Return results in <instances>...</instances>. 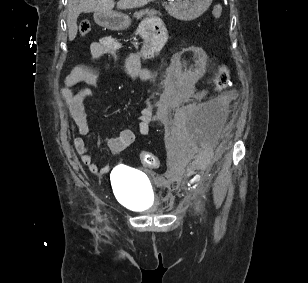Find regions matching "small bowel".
I'll return each instance as SVG.
<instances>
[{"instance_id":"1","label":"small bowel","mask_w":308,"mask_h":283,"mask_svg":"<svg viewBox=\"0 0 308 283\" xmlns=\"http://www.w3.org/2000/svg\"><path fill=\"white\" fill-rule=\"evenodd\" d=\"M162 33L165 36L162 23L157 18H149L142 22L139 27V33L144 40V47L141 51L122 55L121 44L112 37H102L98 41L90 44V52L94 58L103 56H113L122 62L121 72L130 79L141 81H153L154 75L142 66V59L147 55V50L151 40L156 33ZM100 77L98 73L90 67L78 66L65 77L61 93L66 99L69 112L72 116V130L78 132L79 136L73 139V145L79 154L81 161L89 168L92 173L106 174L110 171V166L99 167L93 162L92 155L84 141V136L90 134L91 130L87 121L84 102L93 95V91L81 87L87 84L92 87H98ZM76 87L77 91L73 93L70 88ZM187 95L182 91H170L165 93L156 108L145 107L138 115V132L141 135H148L149 126L153 118L165 120L171 112L179 107ZM135 140V133L131 129L122 130L118 136L104 139L105 145L114 153H118L130 146Z\"/></svg>"}]
</instances>
